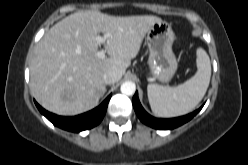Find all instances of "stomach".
I'll use <instances>...</instances> for the list:
<instances>
[{"label": "stomach", "instance_id": "0dacf381", "mask_svg": "<svg viewBox=\"0 0 248 165\" xmlns=\"http://www.w3.org/2000/svg\"><path fill=\"white\" fill-rule=\"evenodd\" d=\"M173 42V30L165 21L155 22L147 31L150 74L161 82L170 81L177 70L178 64L172 50Z\"/></svg>", "mask_w": 248, "mask_h": 165}]
</instances>
